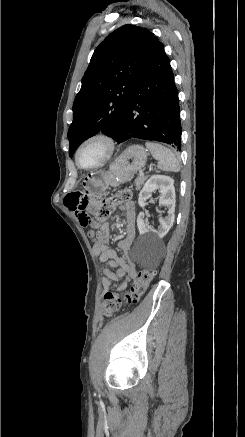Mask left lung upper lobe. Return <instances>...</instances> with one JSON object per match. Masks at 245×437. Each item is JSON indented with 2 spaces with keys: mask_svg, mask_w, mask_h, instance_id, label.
Wrapping results in <instances>:
<instances>
[{
  "mask_svg": "<svg viewBox=\"0 0 245 437\" xmlns=\"http://www.w3.org/2000/svg\"><path fill=\"white\" fill-rule=\"evenodd\" d=\"M159 44L148 29L126 24L96 48L73 103L70 157L100 131L118 141L129 96Z\"/></svg>",
  "mask_w": 245,
  "mask_h": 437,
  "instance_id": "5c2ea615",
  "label": "left lung upper lobe"
}]
</instances>
